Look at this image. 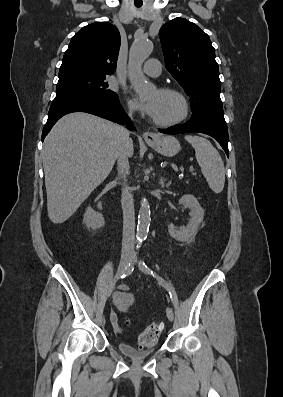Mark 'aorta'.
<instances>
[{"label":"aorta","instance_id":"aorta-1","mask_svg":"<svg viewBox=\"0 0 283 397\" xmlns=\"http://www.w3.org/2000/svg\"><path fill=\"white\" fill-rule=\"evenodd\" d=\"M152 52V44L141 40L134 42L129 54V79L135 92L140 97H146L155 90L153 84L149 83L141 71L143 62ZM150 205L146 197L141 199V207L138 214L137 239L147 237L150 226Z\"/></svg>","mask_w":283,"mask_h":397}]
</instances>
